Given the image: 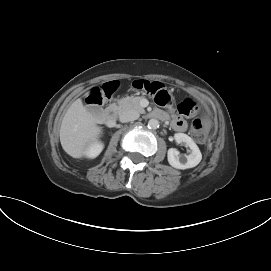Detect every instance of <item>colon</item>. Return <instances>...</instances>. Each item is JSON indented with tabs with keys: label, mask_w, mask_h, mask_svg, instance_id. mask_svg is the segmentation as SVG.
<instances>
[{
	"label": "colon",
	"mask_w": 271,
	"mask_h": 271,
	"mask_svg": "<svg viewBox=\"0 0 271 271\" xmlns=\"http://www.w3.org/2000/svg\"><path fill=\"white\" fill-rule=\"evenodd\" d=\"M131 87L135 90L152 95L157 104L161 106H167L171 103V96L161 82L148 79H135L131 82ZM117 88L118 83L116 81L104 83L102 86L93 88L90 91L86 102L93 108H99L108 98L112 96ZM196 110V103L190 98H186L178 104V111L181 115L189 116L192 115ZM191 131L193 138L197 142L203 143L207 136L206 123L204 119L196 118L192 122Z\"/></svg>",
	"instance_id": "obj_1"
}]
</instances>
